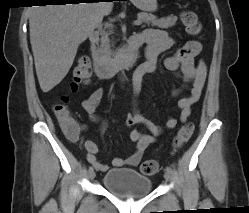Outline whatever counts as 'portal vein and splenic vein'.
Masks as SVG:
<instances>
[{
	"label": "portal vein and splenic vein",
	"instance_id": "1",
	"mask_svg": "<svg viewBox=\"0 0 249 213\" xmlns=\"http://www.w3.org/2000/svg\"><path fill=\"white\" fill-rule=\"evenodd\" d=\"M141 24H142V20H141V19H137V20L134 21V25L139 26V25H141ZM109 25H110V24H108V23L105 24V26H109Z\"/></svg>",
	"mask_w": 249,
	"mask_h": 213
}]
</instances>
